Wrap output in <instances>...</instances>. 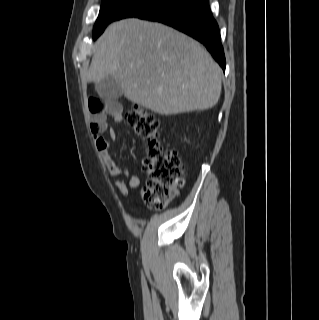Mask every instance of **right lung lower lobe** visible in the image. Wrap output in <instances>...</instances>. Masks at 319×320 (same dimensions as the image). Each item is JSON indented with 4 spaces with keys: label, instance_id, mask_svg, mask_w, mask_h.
<instances>
[{
    "label": "right lung lower lobe",
    "instance_id": "98d812e1",
    "mask_svg": "<svg viewBox=\"0 0 319 320\" xmlns=\"http://www.w3.org/2000/svg\"><path fill=\"white\" fill-rule=\"evenodd\" d=\"M137 17L167 24L195 38L205 45L225 70L226 60L219 27L212 17L208 0H172Z\"/></svg>",
    "mask_w": 319,
    "mask_h": 320
}]
</instances>
